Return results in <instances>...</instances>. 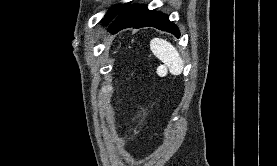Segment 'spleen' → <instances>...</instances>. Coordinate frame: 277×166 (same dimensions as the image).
<instances>
[{
	"mask_svg": "<svg viewBox=\"0 0 277 166\" xmlns=\"http://www.w3.org/2000/svg\"><path fill=\"white\" fill-rule=\"evenodd\" d=\"M150 49L164 63L171 74L179 75L182 73L184 63L180 54L171 43L160 38H154L150 42Z\"/></svg>",
	"mask_w": 277,
	"mask_h": 166,
	"instance_id": "3e777b00",
	"label": "spleen"
}]
</instances>
